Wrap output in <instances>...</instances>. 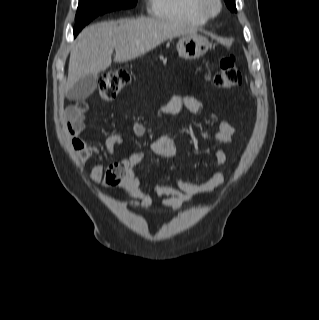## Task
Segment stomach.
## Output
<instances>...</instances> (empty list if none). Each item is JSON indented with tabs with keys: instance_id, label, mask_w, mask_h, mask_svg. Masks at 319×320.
Masks as SVG:
<instances>
[{
	"instance_id": "1",
	"label": "stomach",
	"mask_w": 319,
	"mask_h": 320,
	"mask_svg": "<svg viewBox=\"0 0 319 320\" xmlns=\"http://www.w3.org/2000/svg\"><path fill=\"white\" fill-rule=\"evenodd\" d=\"M211 47L209 40L198 34L182 36L177 43V51L181 58L186 60L197 59L203 56Z\"/></svg>"
}]
</instances>
